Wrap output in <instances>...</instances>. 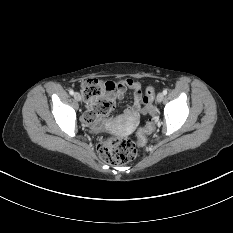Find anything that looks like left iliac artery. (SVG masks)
Segmentation results:
<instances>
[{"label":"left iliac artery","mask_w":233,"mask_h":233,"mask_svg":"<svg viewBox=\"0 0 233 233\" xmlns=\"http://www.w3.org/2000/svg\"><path fill=\"white\" fill-rule=\"evenodd\" d=\"M167 92H168L167 89H164V90H163V94H164V95H166Z\"/></svg>","instance_id":"1"}]
</instances>
